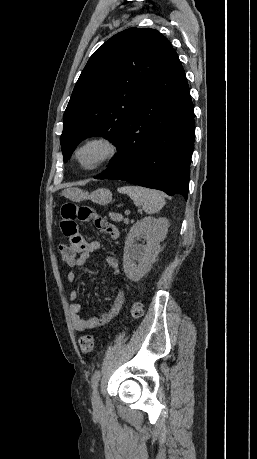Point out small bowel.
Instances as JSON below:
<instances>
[{
  "instance_id": "1",
  "label": "small bowel",
  "mask_w": 257,
  "mask_h": 459,
  "mask_svg": "<svg viewBox=\"0 0 257 459\" xmlns=\"http://www.w3.org/2000/svg\"><path fill=\"white\" fill-rule=\"evenodd\" d=\"M59 221L60 230L64 232L70 243V251H75L77 258L72 264L76 267H83L91 254L100 249L98 241L87 242V236L80 232L79 222H84L85 226H96L114 240L119 237V231L113 224L99 218L97 208H89L88 205H77L75 200H66L65 204L61 205ZM104 262L114 275L119 274L118 261L114 256H106ZM77 279L78 276L75 271L67 273V281L69 283H75ZM78 295L77 290H72L69 293V299L72 302L69 306V311L73 328L80 332L96 330L112 322L121 314L125 302V293L123 290H119L114 300L103 313L90 319H84L81 316L82 306L76 302Z\"/></svg>"
}]
</instances>
